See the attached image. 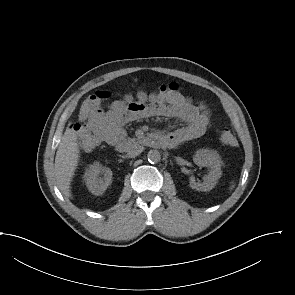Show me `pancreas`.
<instances>
[{
	"instance_id": "1",
	"label": "pancreas",
	"mask_w": 295,
	"mask_h": 295,
	"mask_svg": "<svg viewBox=\"0 0 295 295\" xmlns=\"http://www.w3.org/2000/svg\"><path fill=\"white\" fill-rule=\"evenodd\" d=\"M141 142H142V140L137 139V138H130V139H128L129 145H135V144H139Z\"/></svg>"
}]
</instances>
